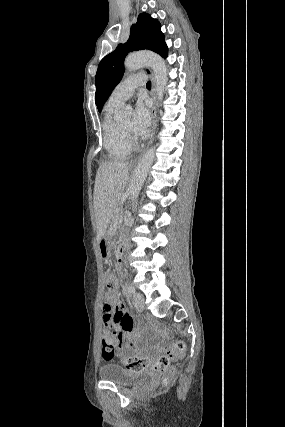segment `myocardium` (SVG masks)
I'll list each match as a JSON object with an SVG mask.
<instances>
[{
	"mask_svg": "<svg viewBox=\"0 0 285 427\" xmlns=\"http://www.w3.org/2000/svg\"><path fill=\"white\" fill-rule=\"evenodd\" d=\"M120 126H121V129L123 130V132L125 133L127 139L131 140V133H130V131L127 130V129H125L121 123H120Z\"/></svg>",
	"mask_w": 285,
	"mask_h": 427,
	"instance_id": "obj_1",
	"label": "myocardium"
}]
</instances>
